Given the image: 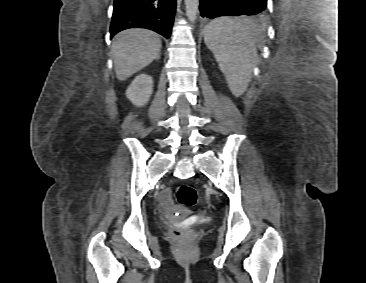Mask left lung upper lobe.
Wrapping results in <instances>:
<instances>
[{"label":"left lung upper lobe","mask_w":366,"mask_h":283,"mask_svg":"<svg viewBox=\"0 0 366 283\" xmlns=\"http://www.w3.org/2000/svg\"><path fill=\"white\" fill-rule=\"evenodd\" d=\"M265 15V13H262V14H260V15H257V16H255V18H263V16Z\"/></svg>","instance_id":"left-lung-upper-lobe-1"}]
</instances>
